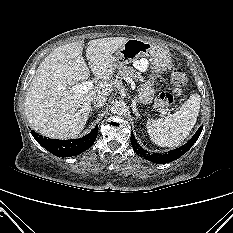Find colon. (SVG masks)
<instances>
[{
	"label": "colon",
	"instance_id": "5ec220e1",
	"mask_svg": "<svg viewBox=\"0 0 233 233\" xmlns=\"http://www.w3.org/2000/svg\"><path fill=\"white\" fill-rule=\"evenodd\" d=\"M171 81L174 88V92L180 94L187 83V77L185 72L177 68L172 72ZM174 103V97L169 92H162L159 94L156 100V107L159 111L168 110Z\"/></svg>",
	"mask_w": 233,
	"mask_h": 233
}]
</instances>
